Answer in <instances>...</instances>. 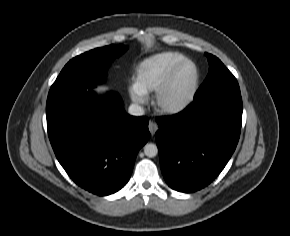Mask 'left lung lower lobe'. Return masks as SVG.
Here are the masks:
<instances>
[{
    "label": "left lung lower lobe",
    "instance_id": "1",
    "mask_svg": "<svg viewBox=\"0 0 290 236\" xmlns=\"http://www.w3.org/2000/svg\"><path fill=\"white\" fill-rule=\"evenodd\" d=\"M156 121L165 181L179 192L200 190L220 174L237 146L242 124L238 82L195 96L182 112Z\"/></svg>",
    "mask_w": 290,
    "mask_h": 236
}]
</instances>
